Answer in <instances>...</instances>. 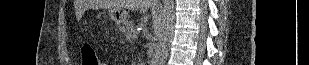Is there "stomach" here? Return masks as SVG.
<instances>
[{
    "label": "stomach",
    "instance_id": "obj_1",
    "mask_svg": "<svg viewBox=\"0 0 309 65\" xmlns=\"http://www.w3.org/2000/svg\"><path fill=\"white\" fill-rule=\"evenodd\" d=\"M109 15L111 19L119 26H126L128 24L127 12L122 8L110 9Z\"/></svg>",
    "mask_w": 309,
    "mask_h": 65
}]
</instances>
